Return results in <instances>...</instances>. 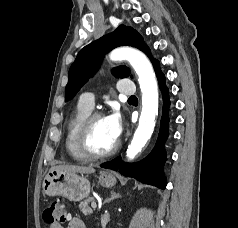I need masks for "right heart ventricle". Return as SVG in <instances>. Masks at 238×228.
Segmentation results:
<instances>
[{
  "mask_svg": "<svg viewBox=\"0 0 238 228\" xmlns=\"http://www.w3.org/2000/svg\"><path fill=\"white\" fill-rule=\"evenodd\" d=\"M91 112V108L79 101L67 121L65 147L71 158L77 162L89 160L79 149L78 137L83 121Z\"/></svg>",
  "mask_w": 238,
  "mask_h": 228,
  "instance_id": "right-heart-ventricle-1",
  "label": "right heart ventricle"
}]
</instances>
